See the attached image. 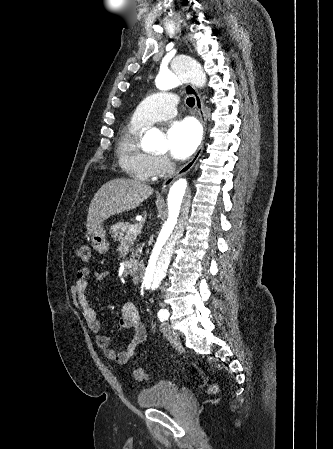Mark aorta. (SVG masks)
Wrapping results in <instances>:
<instances>
[{"instance_id":"1","label":"aorta","mask_w":333,"mask_h":449,"mask_svg":"<svg viewBox=\"0 0 333 449\" xmlns=\"http://www.w3.org/2000/svg\"><path fill=\"white\" fill-rule=\"evenodd\" d=\"M171 70L159 72L156 86L167 90L183 83H191L196 87L206 85V75L203 67L195 59L183 56L174 57L170 61ZM148 147L157 151H165L167 142L156 129H151L144 136ZM192 195V182L180 178L169 189L167 221L160 227L155 239L149 262L144 276L145 290L157 289L166 275L176 242L182 236L184 223L188 218Z\"/></svg>"}]
</instances>
